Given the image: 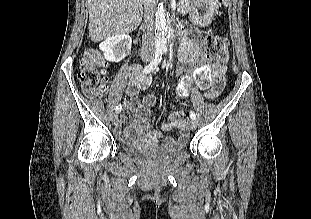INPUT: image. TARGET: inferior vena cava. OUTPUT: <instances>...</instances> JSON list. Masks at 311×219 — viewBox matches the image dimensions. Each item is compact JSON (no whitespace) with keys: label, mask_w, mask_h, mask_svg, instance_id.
<instances>
[{"label":"inferior vena cava","mask_w":311,"mask_h":219,"mask_svg":"<svg viewBox=\"0 0 311 219\" xmlns=\"http://www.w3.org/2000/svg\"><path fill=\"white\" fill-rule=\"evenodd\" d=\"M144 4V29L142 35V52L154 51V9L155 0H143Z\"/></svg>","instance_id":"obj_1"}]
</instances>
